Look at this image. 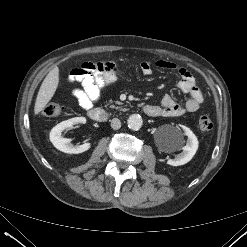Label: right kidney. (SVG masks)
<instances>
[{
    "label": "right kidney",
    "instance_id": "obj_1",
    "mask_svg": "<svg viewBox=\"0 0 247 247\" xmlns=\"http://www.w3.org/2000/svg\"><path fill=\"white\" fill-rule=\"evenodd\" d=\"M86 119L84 117H75L61 123L57 124L50 132V141L58 150L68 153V154H79L87 151L91 144L89 142H85L82 145L74 146L71 144V139L62 137V132L69 127H72L76 124L82 123L84 124Z\"/></svg>",
    "mask_w": 247,
    "mask_h": 247
}]
</instances>
